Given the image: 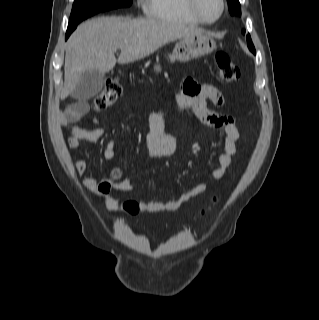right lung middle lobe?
I'll return each mask as SVG.
<instances>
[{
	"label": "right lung middle lobe",
	"instance_id": "dd1d6c3e",
	"mask_svg": "<svg viewBox=\"0 0 319 320\" xmlns=\"http://www.w3.org/2000/svg\"><path fill=\"white\" fill-rule=\"evenodd\" d=\"M131 4L132 0H74L67 30H74L78 23L96 13Z\"/></svg>",
	"mask_w": 319,
	"mask_h": 320
}]
</instances>
